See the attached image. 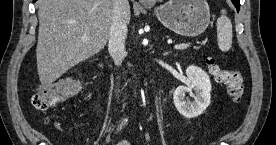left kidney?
<instances>
[{
  "label": "left kidney",
  "instance_id": "5707ae66",
  "mask_svg": "<svg viewBox=\"0 0 276 145\" xmlns=\"http://www.w3.org/2000/svg\"><path fill=\"white\" fill-rule=\"evenodd\" d=\"M186 75L188 84L176 88L173 100L178 112L190 119L201 115L210 105L211 82L208 74L194 65L186 69ZM187 93L194 98L192 102L186 97Z\"/></svg>",
  "mask_w": 276,
  "mask_h": 145
}]
</instances>
